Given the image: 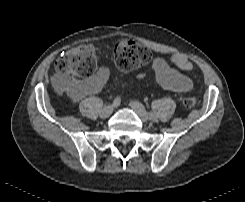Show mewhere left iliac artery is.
Segmentation results:
<instances>
[{"instance_id": "44dca946", "label": "left iliac artery", "mask_w": 245, "mask_h": 202, "mask_svg": "<svg viewBox=\"0 0 245 202\" xmlns=\"http://www.w3.org/2000/svg\"><path fill=\"white\" fill-rule=\"evenodd\" d=\"M148 115H149L150 119H153L154 118V113L149 112Z\"/></svg>"}]
</instances>
